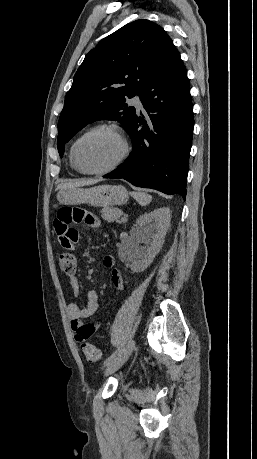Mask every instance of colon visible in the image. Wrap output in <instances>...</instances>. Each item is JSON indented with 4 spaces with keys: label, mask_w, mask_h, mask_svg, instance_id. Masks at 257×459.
Listing matches in <instances>:
<instances>
[{
    "label": "colon",
    "mask_w": 257,
    "mask_h": 459,
    "mask_svg": "<svg viewBox=\"0 0 257 459\" xmlns=\"http://www.w3.org/2000/svg\"><path fill=\"white\" fill-rule=\"evenodd\" d=\"M58 266L61 269V271L65 273H74L76 270V258L74 253L72 251L62 252L58 256ZM81 349L87 360L91 362H99L101 360L100 351L95 345L84 342L81 345Z\"/></svg>",
    "instance_id": "1"
}]
</instances>
